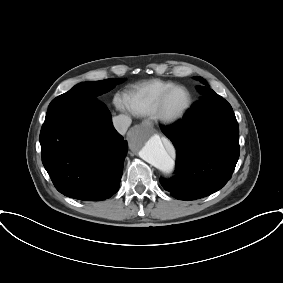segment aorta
<instances>
[{"label": "aorta", "instance_id": "aorta-1", "mask_svg": "<svg viewBox=\"0 0 283 283\" xmlns=\"http://www.w3.org/2000/svg\"><path fill=\"white\" fill-rule=\"evenodd\" d=\"M130 146L138 151L143 160L164 174L173 172L175 162L166 151L159 135L152 133L145 127H137L135 133L130 137ZM171 148L173 147L171 146Z\"/></svg>", "mask_w": 283, "mask_h": 283}]
</instances>
